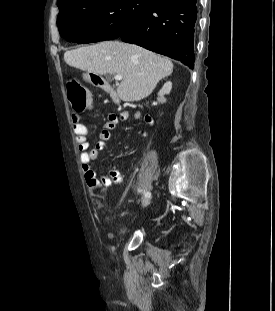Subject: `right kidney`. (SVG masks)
<instances>
[{
  "mask_svg": "<svg viewBox=\"0 0 275 311\" xmlns=\"http://www.w3.org/2000/svg\"><path fill=\"white\" fill-rule=\"evenodd\" d=\"M172 89V83L171 81H167L162 89L159 91V93L156 95V98L154 99V102L159 105H164L166 103V100L163 98L164 95L169 94Z\"/></svg>",
  "mask_w": 275,
  "mask_h": 311,
  "instance_id": "obj_1",
  "label": "right kidney"
}]
</instances>
